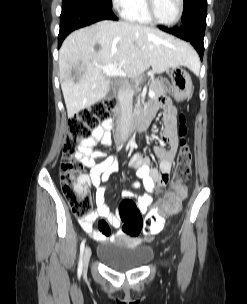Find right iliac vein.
Instances as JSON below:
<instances>
[{
  "instance_id": "1",
  "label": "right iliac vein",
  "mask_w": 247,
  "mask_h": 304,
  "mask_svg": "<svg viewBox=\"0 0 247 304\" xmlns=\"http://www.w3.org/2000/svg\"><path fill=\"white\" fill-rule=\"evenodd\" d=\"M90 257H91V249L89 247H86L84 250V256H83V269L84 270L88 267Z\"/></svg>"
}]
</instances>
